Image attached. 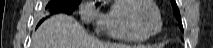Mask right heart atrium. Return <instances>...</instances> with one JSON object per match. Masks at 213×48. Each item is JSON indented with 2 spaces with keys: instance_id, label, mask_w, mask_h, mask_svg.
I'll return each mask as SVG.
<instances>
[{
  "instance_id": "right-heart-atrium-1",
  "label": "right heart atrium",
  "mask_w": 213,
  "mask_h": 48,
  "mask_svg": "<svg viewBox=\"0 0 213 48\" xmlns=\"http://www.w3.org/2000/svg\"><path fill=\"white\" fill-rule=\"evenodd\" d=\"M79 14L83 22L96 25H99L102 15L97 8L95 1H86L81 3Z\"/></svg>"
}]
</instances>
